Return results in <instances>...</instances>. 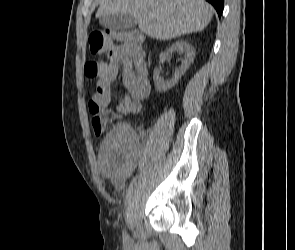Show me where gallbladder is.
I'll return each mask as SVG.
<instances>
[{
	"label": "gallbladder",
	"mask_w": 295,
	"mask_h": 250,
	"mask_svg": "<svg viewBox=\"0 0 295 250\" xmlns=\"http://www.w3.org/2000/svg\"><path fill=\"white\" fill-rule=\"evenodd\" d=\"M100 25L110 30H125L136 25L135 19L128 14H114L102 17Z\"/></svg>",
	"instance_id": "gallbladder-1"
}]
</instances>
